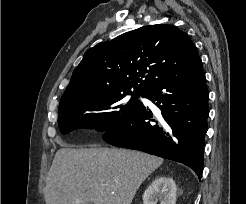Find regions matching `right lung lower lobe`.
<instances>
[{"label": "right lung lower lobe", "mask_w": 246, "mask_h": 204, "mask_svg": "<svg viewBox=\"0 0 246 204\" xmlns=\"http://www.w3.org/2000/svg\"><path fill=\"white\" fill-rule=\"evenodd\" d=\"M142 97L159 108V115L138 101L127 121L104 133L103 140L181 162L201 179L209 115V93L201 59L162 78Z\"/></svg>", "instance_id": "right-lung-lower-lobe-1"}]
</instances>
